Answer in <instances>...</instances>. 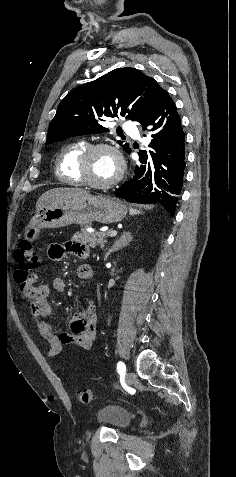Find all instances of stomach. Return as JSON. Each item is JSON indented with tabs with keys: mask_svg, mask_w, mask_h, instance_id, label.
Instances as JSON below:
<instances>
[{
	"mask_svg": "<svg viewBox=\"0 0 236 477\" xmlns=\"http://www.w3.org/2000/svg\"><path fill=\"white\" fill-rule=\"evenodd\" d=\"M127 208L119 200L86 194L39 210L24 229L26 240L39 238L42 228H61L71 224L88 225L91 222L111 224L126 216Z\"/></svg>",
	"mask_w": 236,
	"mask_h": 477,
	"instance_id": "0dacf381",
	"label": "stomach"
}]
</instances>
